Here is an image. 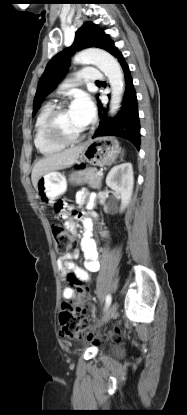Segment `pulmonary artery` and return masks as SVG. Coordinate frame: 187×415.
<instances>
[{
    "label": "pulmonary artery",
    "mask_w": 187,
    "mask_h": 415,
    "mask_svg": "<svg viewBox=\"0 0 187 415\" xmlns=\"http://www.w3.org/2000/svg\"><path fill=\"white\" fill-rule=\"evenodd\" d=\"M103 78V74L95 67H85L77 73L75 79L72 80L74 84L81 81L99 82Z\"/></svg>",
    "instance_id": "obj_1"
}]
</instances>
